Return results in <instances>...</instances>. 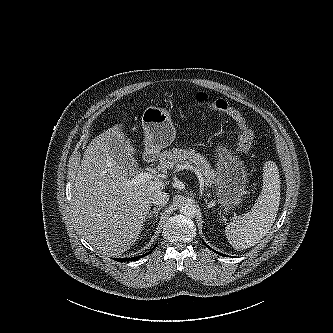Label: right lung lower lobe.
<instances>
[{"mask_svg": "<svg viewBox=\"0 0 333 333\" xmlns=\"http://www.w3.org/2000/svg\"><path fill=\"white\" fill-rule=\"evenodd\" d=\"M156 247V246H155ZM154 247V248H155ZM153 248V249H154ZM152 249V250H153ZM151 251H149L148 253H146V254H143V255H141V256H138V257H134V258H123V259H115V260H117V261H121V262H126V261H135V260H137V259H140L141 257H143V256H146L147 254H149Z\"/></svg>", "mask_w": 333, "mask_h": 333, "instance_id": "98d812e1", "label": "right lung lower lobe"}]
</instances>
